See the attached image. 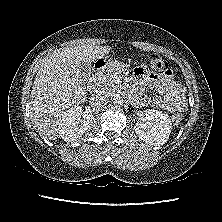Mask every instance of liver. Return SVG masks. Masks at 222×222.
Here are the masks:
<instances>
[{
	"instance_id": "liver-1",
	"label": "liver",
	"mask_w": 222,
	"mask_h": 222,
	"mask_svg": "<svg viewBox=\"0 0 222 222\" xmlns=\"http://www.w3.org/2000/svg\"><path fill=\"white\" fill-rule=\"evenodd\" d=\"M110 46L82 45L57 50L41 63L31 90L30 117L41 136L58 137L63 118L86 101L82 63H92Z\"/></svg>"
}]
</instances>
